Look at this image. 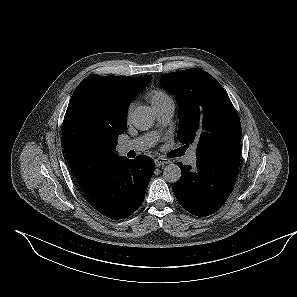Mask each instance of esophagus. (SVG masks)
Masks as SVG:
<instances>
[{"label":"esophagus","mask_w":297,"mask_h":297,"mask_svg":"<svg viewBox=\"0 0 297 297\" xmlns=\"http://www.w3.org/2000/svg\"><path fill=\"white\" fill-rule=\"evenodd\" d=\"M154 162H155L156 167H162L166 164H169L170 160L166 159V158L158 157L154 160Z\"/></svg>","instance_id":"1"}]
</instances>
